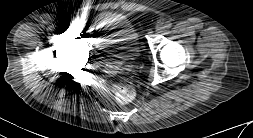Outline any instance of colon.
I'll use <instances>...</instances> for the list:
<instances>
[{"instance_id":"1","label":"colon","mask_w":253,"mask_h":138,"mask_svg":"<svg viewBox=\"0 0 253 138\" xmlns=\"http://www.w3.org/2000/svg\"><path fill=\"white\" fill-rule=\"evenodd\" d=\"M113 93L119 103L125 104L133 100L135 88L127 79H120L113 85Z\"/></svg>"}]
</instances>
